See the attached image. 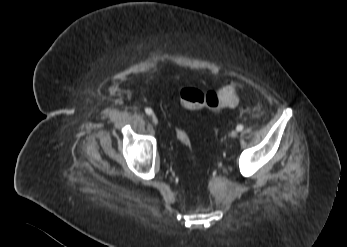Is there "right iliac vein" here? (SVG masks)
I'll list each match as a JSON object with an SVG mask.
<instances>
[{"label": "right iliac vein", "instance_id": "1", "mask_svg": "<svg viewBox=\"0 0 347 247\" xmlns=\"http://www.w3.org/2000/svg\"><path fill=\"white\" fill-rule=\"evenodd\" d=\"M151 120H152V122H153L154 125H157V124H158V118H157L154 114H152Z\"/></svg>", "mask_w": 347, "mask_h": 247}]
</instances>
